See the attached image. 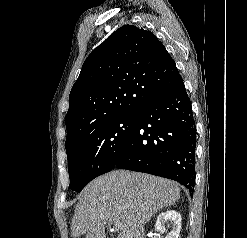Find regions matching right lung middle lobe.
Returning <instances> with one entry per match:
<instances>
[{
	"instance_id": "dd1d6c3e",
	"label": "right lung middle lobe",
	"mask_w": 247,
	"mask_h": 238,
	"mask_svg": "<svg viewBox=\"0 0 247 238\" xmlns=\"http://www.w3.org/2000/svg\"><path fill=\"white\" fill-rule=\"evenodd\" d=\"M138 120L125 114L97 124L66 145L70 188L80 192L95 177L111 171Z\"/></svg>"
}]
</instances>
